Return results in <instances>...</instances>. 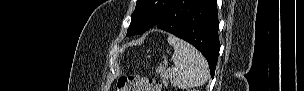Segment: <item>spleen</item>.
Masks as SVG:
<instances>
[{"label": "spleen", "instance_id": "1", "mask_svg": "<svg viewBox=\"0 0 304 91\" xmlns=\"http://www.w3.org/2000/svg\"><path fill=\"white\" fill-rule=\"evenodd\" d=\"M173 46L172 60L175 71L170 73L171 83L179 88H192L204 84L209 76L204 56L189 43L175 36L168 37Z\"/></svg>", "mask_w": 304, "mask_h": 91}]
</instances>
